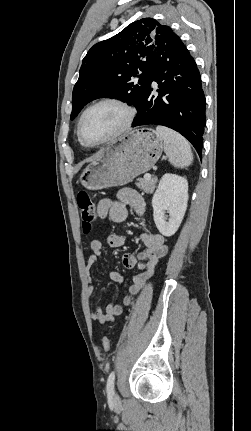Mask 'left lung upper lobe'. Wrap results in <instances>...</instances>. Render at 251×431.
I'll list each match as a JSON object with an SVG mask.
<instances>
[{"label":"left lung upper lobe","mask_w":251,"mask_h":431,"mask_svg":"<svg viewBox=\"0 0 251 431\" xmlns=\"http://www.w3.org/2000/svg\"><path fill=\"white\" fill-rule=\"evenodd\" d=\"M172 34L170 27L143 18L92 46L83 59L73 89L70 119L100 97L116 98L137 109L147 86L153 55Z\"/></svg>","instance_id":"1"}]
</instances>
